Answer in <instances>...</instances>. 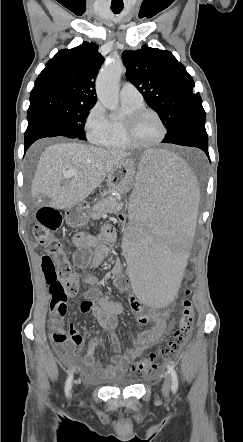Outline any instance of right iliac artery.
<instances>
[{
	"instance_id": "1",
	"label": "right iliac artery",
	"mask_w": 243,
	"mask_h": 442,
	"mask_svg": "<svg viewBox=\"0 0 243 442\" xmlns=\"http://www.w3.org/2000/svg\"><path fill=\"white\" fill-rule=\"evenodd\" d=\"M72 381H73V374L71 373L68 376L66 384H65V394H66L67 397L70 396V391H71V387H72Z\"/></svg>"
}]
</instances>
